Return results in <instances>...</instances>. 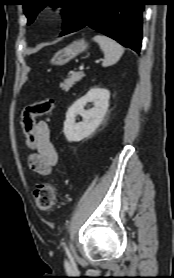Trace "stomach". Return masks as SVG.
I'll list each match as a JSON object with an SVG mask.
<instances>
[{"instance_id":"0dacf381","label":"stomach","mask_w":174,"mask_h":278,"mask_svg":"<svg viewBox=\"0 0 174 278\" xmlns=\"http://www.w3.org/2000/svg\"><path fill=\"white\" fill-rule=\"evenodd\" d=\"M88 47V44L84 39L74 41L67 47L57 51L51 59L53 65H64L78 54L84 52Z\"/></svg>"}]
</instances>
